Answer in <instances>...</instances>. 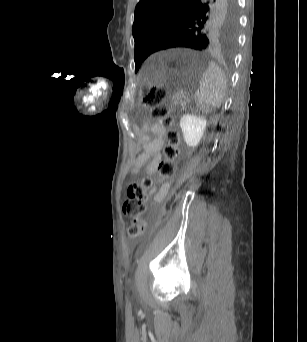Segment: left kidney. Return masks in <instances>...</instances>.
I'll return each mask as SVG.
<instances>
[{
    "mask_svg": "<svg viewBox=\"0 0 307 342\" xmlns=\"http://www.w3.org/2000/svg\"><path fill=\"white\" fill-rule=\"evenodd\" d=\"M207 120L193 116V114H184L180 120V128L183 132L184 142L187 146H198L205 130Z\"/></svg>",
    "mask_w": 307,
    "mask_h": 342,
    "instance_id": "1",
    "label": "left kidney"
}]
</instances>
